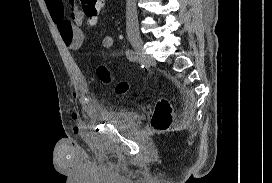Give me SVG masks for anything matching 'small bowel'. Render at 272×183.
I'll return each mask as SVG.
<instances>
[{"label":"small bowel","mask_w":272,"mask_h":183,"mask_svg":"<svg viewBox=\"0 0 272 183\" xmlns=\"http://www.w3.org/2000/svg\"><path fill=\"white\" fill-rule=\"evenodd\" d=\"M49 14L56 24L61 39L65 46L73 51L78 50L84 42L83 17L78 12L72 14V21L66 18L64 0H45ZM102 47L110 48L114 44V36L107 34L102 39ZM72 118L76 121L80 119L78 113H73Z\"/></svg>","instance_id":"obj_1"}]
</instances>
